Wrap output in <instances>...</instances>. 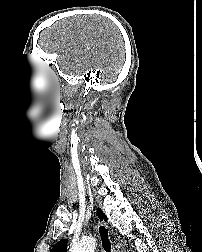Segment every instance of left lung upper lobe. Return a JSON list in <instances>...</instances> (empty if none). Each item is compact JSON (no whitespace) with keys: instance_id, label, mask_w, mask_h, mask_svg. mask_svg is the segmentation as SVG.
<instances>
[{"instance_id":"5c2ea615","label":"left lung upper lobe","mask_w":202,"mask_h":252,"mask_svg":"<svg viewBox=\"0 0 202 252\" xmlns=\"http://www.w3.org/2000/svg\"><path fill=\"white\" fill-rule=\"evenodd\" d=\"M98 217L101 220H107L106 215L99 209L98 210ZM66 240H61L58 243H56L53 248L51 249L50 252H66L67 248H66Z\"/></svg>"}]
</instances>
